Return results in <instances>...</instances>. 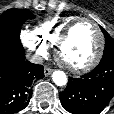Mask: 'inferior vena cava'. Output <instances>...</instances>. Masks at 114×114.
Wrapping results in <instances>:
<instances>
[{
	"mask_svg": "<svg viewBox=\"0 0 114 114\" xmlns=\"http://www.w3.org/2000/svg\"><path fill=\"white\" fill-rule=\"evenodd\" d=\"M28 61L35 63V64H42L44 59L38 54H27Z\"/></svg>",
	"mask_w": 114,
	"mask_h": 114,
	"instance_id": "obj_1",
	"label": "inferior vena cava"
}]
</instances>
